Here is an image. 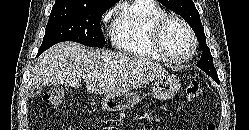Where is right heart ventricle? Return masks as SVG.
I'll return each mask as SVG.
<instances>
[{"instance_id":"right-heart-ventricle-1","label":"right heart ventricle","mask_w":249,"mask_h":130,"mask_svg":"<svg viewBox=\"0 0 249 130\" xmlns=\"http://www.w3.org/2000/svg\"><path fill=\"white\" fill-rule=\"evenodd\" d=\"M167 15L154 0H133L121 8L111 30L114 47L126 54L161 60L152 42V28Z\"/></svg>"}]
</instances>
